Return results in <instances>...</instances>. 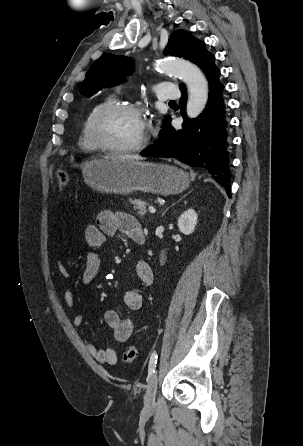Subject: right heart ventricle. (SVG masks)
Here are the masks:
<instances>
[{"label": "right heart ventricle", "instance_id": "e07e8e85", "mask_svg": "<svg viewBox=\"0 0 303 446\" xmlns=\"http://www.w3.org/2000/svg\"><path fill=\"white\" fill-rule=\"evenodd\" d=\"M111 102H115V98L114 96H108L102 100H100L99 102H97L96 104L93 105V107L90 109V111L88 112L82 128H81V133H80V137L78 140V145L81 149L85 150V151H96L99 148L92 142L91 138H90V134H89V125H90V121L91 118L93 117V115L95 114V112L101 108L102 106L111 103Z\"/></svg>", "mask_w": 303, "mask_h": 446}]
</instances>
